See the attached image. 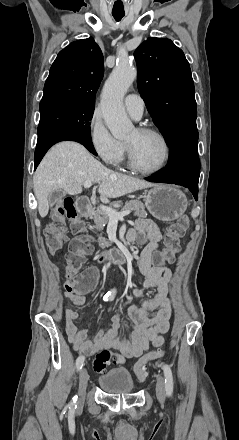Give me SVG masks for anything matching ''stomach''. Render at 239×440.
<instances>
[{
    "label": "stomach",
    "instance_id": "1",
    "mask_svg": "<svg viewBox=\"0 0 239 440\" xmlns=\"http://www.w3.org/2000/svg\"><path fill=\"white\" fill-rule=\"evenodd\" d=\"M145 206L157 220L172 222L186 212L188 200L175 186H154L145 198Z\"/></svg>",
    "mask_w": 239,
    "mask_h": 440
}]
</instances>
